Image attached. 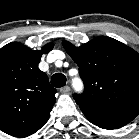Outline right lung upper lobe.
I'll list each match as a JSON object with an SVG mask.
<instances>
[{"label": "right lung upper lobe", "mask_w": 139, "mask_h": 139, "mask_svg": "<svg viewBox=\"0 0 139 139\" xmlns=\"http://www.w3.org/2000/svg\"><path fill=\"white\" fill-rule=\"evenodd\" d=\"M53 46L34 51L12 42L0 49V130L6 134L21 136L48 119L57 91L38 63Z\"/></svg>", "instance_id": "cb5924a9"}]
</instances>
